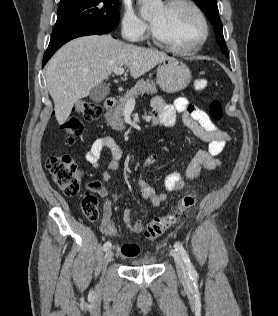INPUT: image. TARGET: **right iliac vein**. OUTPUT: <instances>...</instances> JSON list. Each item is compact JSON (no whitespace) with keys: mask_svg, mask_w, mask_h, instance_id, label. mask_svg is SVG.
Wrapping results in <instances>:
<instances>
[{"mask_svg":"<svg viewBox=\"0 0 278 316\" xmlns=\"http://www.w3.org/2000/svg\"><path fill=\"white\" fill-rule=\"evenodd\" d=\"M112 257H113V252L111 249H108L104 255V265L105 266L112 260Z\"/></svg>","mask_w":278,"mask_h":316,"instance_id":"right-iliac-vein-1","label":"right iliac vein"}]
</instances>
